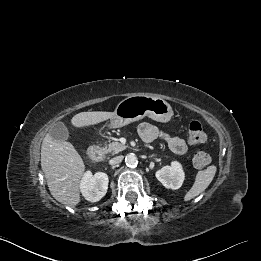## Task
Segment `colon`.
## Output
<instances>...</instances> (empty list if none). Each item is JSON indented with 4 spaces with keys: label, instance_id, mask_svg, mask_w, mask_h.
<instances>
[{
    "label": "colon",
    "instance_id": "obj_1",
    "mask_svg": "<svg viewBox=\"0 0 261 261\" xmlns=\"http://www.w3.org/2000/svg\"><path fill=\"white\" fill-rule=\"evenodd\" d=\"M188 141L193 145H200L206 141V134L199 120H193L188 126ZM210 156L204 151H199L193 156V163L197 167H204L210 163Z\"/></svg>",
    "mask_w": 261,
    "mask_h": 261
}]
</instances>
